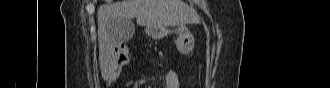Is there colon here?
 Listing matches in <instances>:
<instances>
[{"label":"colon","mask_w":330,"mask_h":88,"mask_svg":"<svg viewBox=\"0 0 330 88\" xmlns=\"http://www.w3.org/2000/svg\"><path fill=\"white\" fill-rule=\"evenodd\" d=\"M125 48V47H124ZM122 48H119L115 53V61H114V76L117 75V73L120 71V69L125 65V62L128 59V54L121 53L120 50ZM128 49V48H127Z\"/></svg>","instance_id":"1"}]
</instances>
